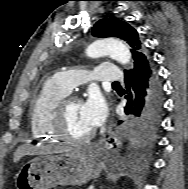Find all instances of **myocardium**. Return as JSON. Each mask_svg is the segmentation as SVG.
Returning <instances> with one entry per match:
<instances>
[{
	"label": "myocardium",
	"mask_w": 188,
	"mask_h": 189,
	"mask_svg": "<svg viewBox=\"0 0 188 189\" xmlns=\"http://www.w3.org/2000/svg\"><path fill=\"white\" fill-rule=\"evenodd\" d=\"M72 102H81V99L76 95L67 94L58 102L51 117V128L58 139H61L66 143L82 144L89 142L94 136L93 130L80 137L72 136L66 130V113L68 106Z\"/></svg>",
	"instance_id": "1"
}]
</instances>
